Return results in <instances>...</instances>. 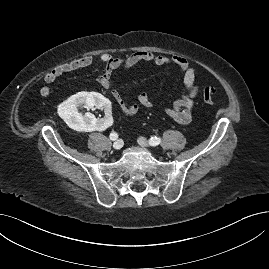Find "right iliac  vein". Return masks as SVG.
Returning <instances> with one entry per match:
<instances>
[{
	"label": "right iliac vein",
	"instance_id": "obj_1",
	"mask_svg": "<svg viewBox=\"0 0 269 269\" xmlns=\"http://www.w3.org/2000/svg\"><path fill=\"white\" fill-rule=\"evenodd\" d=\"M123 140L119 139L113 143V148L116 150H120L123 147Z\"/></svg>",
	"mask_w": 269,
	"mask_h": 269
}]
</instances>
